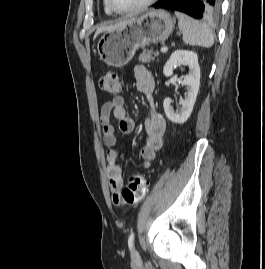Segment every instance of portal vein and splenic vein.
Segmentation results:
<instances>
[{"instance_id":"portal-vein-and-splenic-vein-1","label":"portal vein and splenic vein","mask_w":265,"mask_h":269,"mask_svg":"<svg viewBox=\"0 0 265 269\" xmlns=\"http://www.w3.org/2000/svg\"><path fill=\"white\" fill-rule=\"evenodd\" d=\"M160 50H161L162 53H165V52L168 51V48L167 47H162Z\"/></svg>"}]
</instances>
